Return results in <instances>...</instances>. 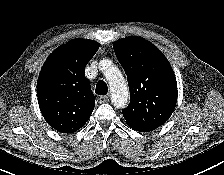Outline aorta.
<instances>
[{
  "instance_id": "aorta-1",
  "label": "aorta",
  "mask_w": 224,
  "mask_h": 175,
  "mask_svg": "<svg viewBox=\"0 0 224 175\" xmlns=\"http://www.w3.org/2000/svg\"><path fill=\"white\" fill-rule=\"evenodd\" d=\"M105 78L110 86L111 101L117 108H123L127 105L129 91L127 83L119 69L114 67L110 60L103 59L99 63Z\"/></svg>"
}]
</instances>
